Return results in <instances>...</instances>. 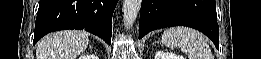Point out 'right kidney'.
<instances>
[{
	"label": "right kidney",
	"mask_w": 261,
	"mask_h": 59,
	"mask_svg": "<svg viewBox=\"0 0 261 59\" xmlns=\"http://www.w3.org/2000/svg\"><path fill=\"white\" fill-rule=\"evenodd\" d=\"M98 59V57H95L94 55H92V56H82V57H80L79 59Z\"/></svg>",
	"instance_id": "obj_1"
}]
</instances>
